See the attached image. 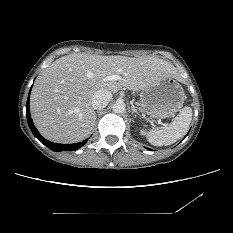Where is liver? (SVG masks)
I'll return each instance as SVG.
<instances>
[{
	"label": "liver",
	"mask_w": 233,
	"mask_h": 233,
	"mask_svg": "<svg viewBox=\"0 0 233 233\" xmlns=\"http://www.w3.org/2000/svg\"><path fill=\"white\" fill-rule=\"evenodd\" d=\"M118 81H103L111 75ZM178 79L177 69L156 57L102 56L74 53L55 60L38 77L30 97V111L39 132L57 143L87 138L96 114L91 99L101 89L117 92L122 87L143 91L160 81Z\"/></svg>",
	"instance_id": "6515ba94"
}]
</instances>
